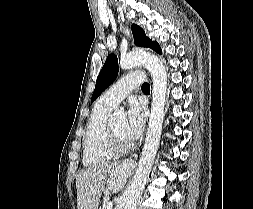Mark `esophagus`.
I'll list each match as a JSON object with an SVG mask.
<instances>
[{
    "mask_svg": "<svg viewBox=\"0 0 253 209\" xmlns=\"http://www.w3.org/2000/svg\"><path fill=\"white\" fill-rule=\"evenodd\" d=\"M124 33L131 38V33H130V31H129L128 28H126V27L124 28ZM125 164L126 165H132L133 164V160L132 159H128V160L125 161Z\"/></svg>",
    "mask_w": 253,
    "mask_h": 209,
    "instance_id": "esophagus-1",
    "label": "esophagus"
}]
</instances>
